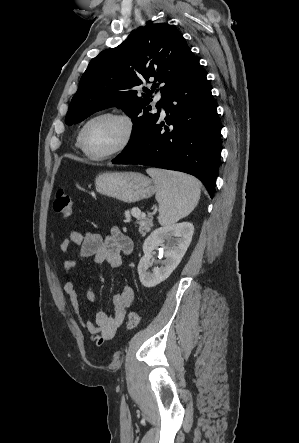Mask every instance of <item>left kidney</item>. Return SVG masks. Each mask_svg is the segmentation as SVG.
Listing matches in <instances>:
<instances>
[{"instance_id": "left-kidney-1", "label": "left kidney", "mask_w": 299, "mask_h": 443, "mask_svg": "<svg viewBox=\"0 0 299 443\" xmlns=\"http://www.w3.org/2000/svg\"><path fill=\"white\" fill-rule=\"evenodd\" d=\"M193 233V224L182 222L158 228L146 238L143 244L144 256L138 264L139 279L143 286L154 287L170 276L185 255ZM160 246L164 249L166 260L160 268H154L149 272L152 253Z\"/></svg>"}]
</instances>
